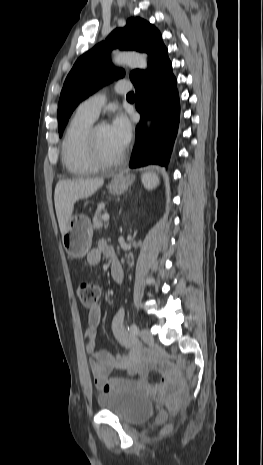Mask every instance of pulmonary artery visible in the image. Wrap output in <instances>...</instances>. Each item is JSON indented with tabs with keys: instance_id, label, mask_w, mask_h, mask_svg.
Instances as JSON below:
<instances>
[{
	"instance_id": "e3ab8cb5",
	"label": "pulmonary artery",
	"mask_w": 263,
	"mask_h": 465,
	"mask_svg": "<svg viewBox=\"0 0 263 465\" xmlns=\"http://www.w3.org/2000/svg\"><path fill=\"white\" fill-rule=\"evenodd\" d=\"M114 90L118 94H124L130 90V85L126 82L116 83ZM106 102V96L103 93H96L80 103L78 111L89 117L96 119L102 106Z\"/></svg>"
}]
</instances>
